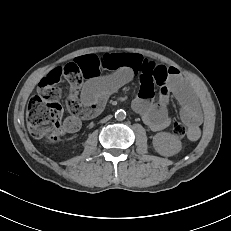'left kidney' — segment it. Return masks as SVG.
I'll return each mask as SVG.
<instances>
[{"instance_id": "1", "label": "left kidney", "mask_w": 231, "mask_h": 231, "mask_svg": "<svg viewBox=\"0 0 231 231\" xmlns=\"http://www.w3.org/2000/svg\"><path fill=\"white\" fill-rule=\"evenodd\" d=\"M153 147L160 155L169 157L179 153L182 144L175 135L160 132L153 137Z\"/></svg>"}]
</instances>
